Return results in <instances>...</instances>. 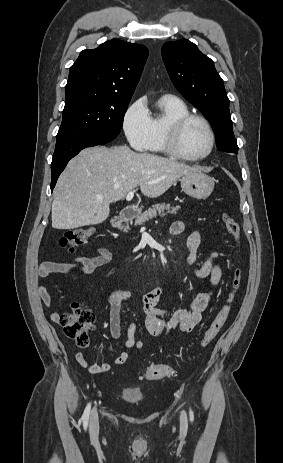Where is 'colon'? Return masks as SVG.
I'll return each mask as SVG.
<instances>
[{"instance_id":"obj_1","label":"colon","mask_w":283,"mask_h":463,"mask_svg":"<svg viewBox=\"0 0 283 463\" xmlns=\"http://www.w3.org/2000/svg\"><path fill=\"white\" fill-rule=\"evenodd\" d=\"M222 222L226 230L239 242L241 230L237 221L228 213L222 214ZM94 235V228H78L66 231L59 240V245L64 250L72 253L77 247L87 243ZM242 270L236 267L233 273L231 289L227 300L221 307L218 314L215 316L207 330L204 332L200 341V348L207 347L218 335L228 316L231 312L232 303L237 291L241 286ZM59 322L64 328L67 336L72 338L77 345L86 346L88 343V333L93 328L95 323L94 313L80 305H75L73 308L59 317ZM173 374V369L168 364H154L146 368L144 377L149 381H157Z\"/></svg>"}]
</instances>
